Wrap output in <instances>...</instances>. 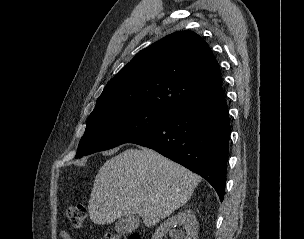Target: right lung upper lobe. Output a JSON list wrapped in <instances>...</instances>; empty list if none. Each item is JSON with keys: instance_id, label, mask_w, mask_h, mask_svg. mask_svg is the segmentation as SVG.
Segmentation results:
<instances>
[{"instance_id": "1", "label": "right lung upper lobe", "mask_w": 304, "mask_h": 239, "mask_svg": "<svg viewBox=\"0 0 304 239\" xmlns=\"http://www.w3.org/2000/svg\"><path fill=\"white\" fill-rule=\"evenodd\" d=\"M220 86L218 62L208 44L192 31L175 32L124 66L107 83L90 116L129 107L172 114Z\"/></svg>"}]
</instances>
